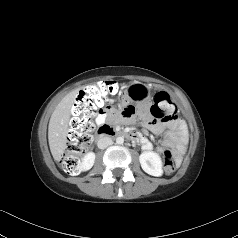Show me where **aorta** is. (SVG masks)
Segmentation results:
<instances>
[{"label":"aorta","instance_id":"obj_1","mask_svg":"<svg viewBox=\"0 0 238 238\" xmlns=\"http://www.w3.org/2000/svg\"><path fill=\"white\" fill-rule=\"evenodd\" d=\"M116 143L120 144V145L123 144L124 143V138L123 137H117L116 138Z\"/></svg>","mask_w":238,"mask_h":238}]
</instances>
